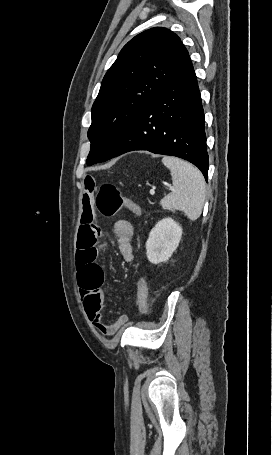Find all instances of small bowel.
Segmentation results:
<instances>
[{
    "mask_svg": "<svg viewBox=\"0 0 272 455\" xmlns=\"http://www.w3.org/2000/svg\"><path fill=\"white\" fill-rule=\"evenodd\" d=\"M83 184V212L77 241L78 283L84 309L89 319L100 333L111 336L127 321V317L125 315L120 316L111 324L105 323L102 318L104 272L97 262L99 230L94 222L90 205V196L95 189L96 182L93 176L87 175ZM113 230L121 256L124 261L131 262L134 258L132 224L127 220H118L114 223Z\"/></svg>",
    "mask_w": 272,
    "mask_h": 455,
    "instance_id": "1",
    "label": "small bowel"
}]
</instances>
